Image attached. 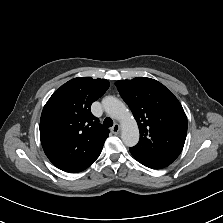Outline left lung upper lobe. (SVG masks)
<instances>
[{
    "mask_svg": "<svg viewBox=\"0 0 223 223\" xmlns=\"http://www.w3.org/2000/svg\"><path fill=\"white\" fill-rule=\"evenodd\" d=\"M139 127L140 139L129 150L141 160L171 164L181 153L187 117L178 99L160 82L144 77L115 83Z\"/></svg>",
    "mask_w": 223,
    "mask_h": 223,
    "instance_id": "1",
    "label": "left lung upper lobe"
}]
</instances>
